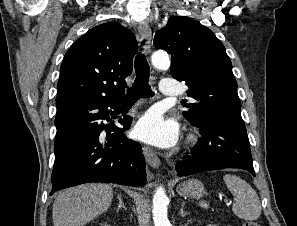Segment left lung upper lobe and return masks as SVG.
Returning <instances> with one entry per match:
<instances>
[{
	"instance_id": "5c2ea615",
	"label": "left lung upper lobe",
	"mask_w": 297,
	"mask_h": 226,
	"mask_svg": "<svg viewBox=\"0 0 297 226\" xmlns=\"http://www.w3.org/2000/svg\"><path fill=\"white\" fill-rule=\"evenodd\" d=\"M154 45L172 55V76L185 81L188 95L198 101L186 106L189 122L195 125L213 117L242 120L232 63L210 29L189 17H171L156 33Z\"/></svg>"
}]
</instances>
